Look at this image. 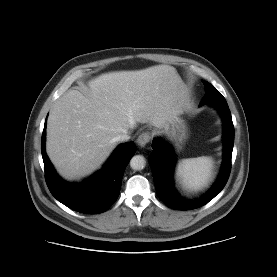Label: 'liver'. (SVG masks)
I'll return each instance as SVG.
<instances>
[{
    "label": "liver",
    "instance_id": "obj_1",
    "mask_svg": "<svg viewBox=\"0 0 277 277\" xmlns=\"http://www.w3.org/2000/svg\"><path fill=\"white\" fill-rule=\"evenodd\" d=\"M88 86L86 94L66 92L48 116L46 151L68 180L99 169L116 147V136L137 123L161 127L179 113L186 89L169 65L105 73Z\"/></svg>",
    "mask_w": 277,
    "mask_h": 277
}]
</instances>
